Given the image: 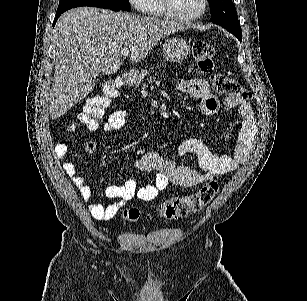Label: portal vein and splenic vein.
Wrapping results in <instances>:
<instances>
[{"label":"portal vein and splenic vein","mask_w":307,"mask_h":301,"mask_svg":"<svg viewBox=\"0 0 307 301\" xmlns=\"http://www.w3.org/2000/svg\"><path fill=\"white\" fill-rule=\"evenodd\" d=\"M122 54H123V56H128V54H129V48H123Z\"/></svg>","instance_id":"18ae733b"}]
</instances>
